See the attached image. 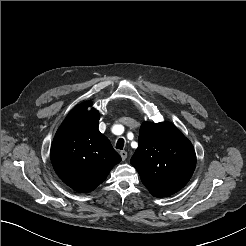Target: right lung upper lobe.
<instances>
[{
	"label": "right lung upper lobe",
	"instance_id": "1",
	"mask_svg": "<svg viewBox=\"0 0 246 246\" xmlns=\"http://www.w3.org/2000/svg\"><path fill=\"white\" fill-rule=\"evenodd\" d=\"M76 106L63 121L51 146V162L60 179L81 193L93 191L121 161L110 141L98 130L99 113Z\"/></svg>",
	"mask_w": 246,
	"mask_h": 246
}]
</instances>
